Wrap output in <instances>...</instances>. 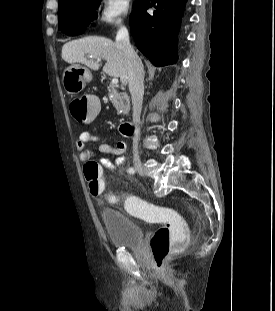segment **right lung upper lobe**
<instances>
[{
  "label": "right lung upper lobe",
  "instance_id": "cb5924a9",
  "mask_svg": "<svg viewBox=\"0 0 275 311\" xmlns=\"http://www.w3.org/2000/svg\"><path fill=\"white\" fill-rule=\"evenodd\" d=\"M65 1H68V0H59V4L65 2Z\"/></svg>",
  "mask_w": 275,
  "mask_h": 311
}]
</instances>
